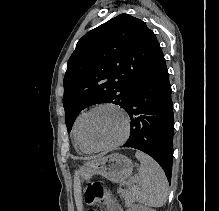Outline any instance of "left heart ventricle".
<instances>
[{
	"mask_svg": "<svg viewBox=\"0 0 219 211\" xmlns=\"http://www.w3.org/2000/svg\"><path fill=\"white\" fill-rule=\"evenodd\" d=\"M124 117L113 108H99L88 115L83 127L85 140L93 146L116 141L124 130Z\"/></svg>",
	"mask_w": 219,
	"mask_h": 211,
	"instance_id": "b2bd125f",
	"label": "left heart ventricle"
}]
</instances>
